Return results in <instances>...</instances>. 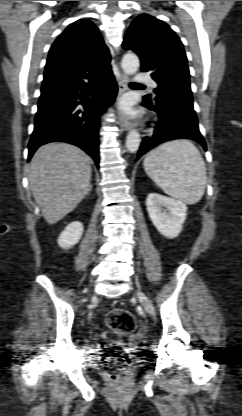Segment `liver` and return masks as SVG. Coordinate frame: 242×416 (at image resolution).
<instances>
[{"mask_svg": "<svg viewBox=\"0 0 242 416\" xmlns=\"http://www.w3.org/2000/svg\"><path fill=\"white\" fill-rule=\"evenodd\" d=\"M91 159L68 143L41 146L30 163L29 184L47 223L72 212L91 189Z\"/></svg>", "mask_w": 242, "mask_h": 416, "instance_id": "liver-1", "label": "liver"}]
</instances>
